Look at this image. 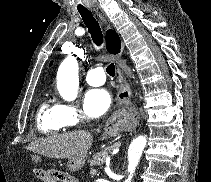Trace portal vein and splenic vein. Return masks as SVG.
<instances>
[{
    "instance_id": "portal-vein-and-splenic-vein-1",
    "label": "portal vein and splenic vein",
    "mask_w": 211,
    "mask_h": 182,
    "mask_svg": "<svg viewBox=\"0 0 211 182\" xmlns=\"http://www.w3.org/2000/svg\"><path fill=\"white\" fill-rule=\"evenodd\" d=\"M118 151H119L118 149H114L113 154L117 153ZM96 173H97V170H95V169L91 170V174H96Z\"/></svg>"
}]
</instances>
